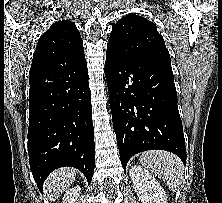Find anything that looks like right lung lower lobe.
I'll return each mask as SVG.
<instances>
[{
  "instance_id": "right-lung-lower-lobe-1",
  "label": "right lung lower lobe",
  "mask_w": 222,
  "mask_h": 203,
  "mask_svg": "<svg viewBox=\"0 0 222 203\" xmlns=\"http://www.w3.org/2000/svg\"><path fill=\"white\" fill-rule=\"evenodd\" d=\"M87 65L29 76V163L40 191L53 170L71 166L90 183L95 165Z\"/></svg>"
}]
</instances>
